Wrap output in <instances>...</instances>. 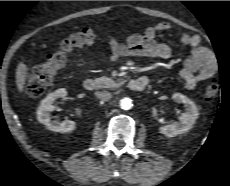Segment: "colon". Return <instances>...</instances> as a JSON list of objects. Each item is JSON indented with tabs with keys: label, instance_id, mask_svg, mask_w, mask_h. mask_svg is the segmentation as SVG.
Instances as JSON below:
<instances>
[{
	"label": "colon",
	"instance_id": "1",
	"mask_svg": "<svg viewBox=\"0 0 230 186\" xmlns=\"http://www.w3.org/2000/svg\"><path fill=\"white\" fill-rule=\"evenodd\" d=\"M97 38L91 29H83L69 35L60 46L54 49L41 64L33 66L27 75L25 90L31 97L41 96L45 89L52 83L55 74L67 64V54L77 48L91 45ZM220 91L217 80L210 81L205 87V97L213 100Z\"/></svg>",
	"mask_w": 230,
	"mask_h": 186
}]
</instances>
